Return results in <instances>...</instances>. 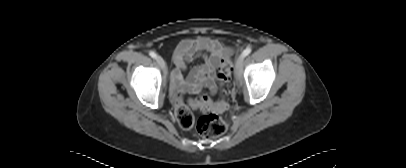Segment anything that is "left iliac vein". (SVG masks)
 Here are the masks:
<instances>
[{
    "mask_svg": "<svg viewBox=\"0 0 406 168\" xmlns=\"http://www.w3.org/2000/svg\"><path fill=\"white\" fill-rule=\"evenodd\" d=\"M244 57L241 55L236 60L235 64V76L238 80L242 78V64H243Z\"/></svg>",
    "mask_w": 406,
    "mask_h": 168,
    "instance_id": "1",
    "label": "left iliac vein"
}]
</instances>
